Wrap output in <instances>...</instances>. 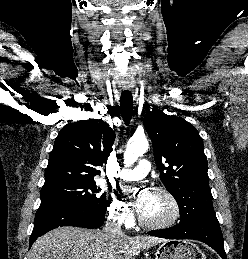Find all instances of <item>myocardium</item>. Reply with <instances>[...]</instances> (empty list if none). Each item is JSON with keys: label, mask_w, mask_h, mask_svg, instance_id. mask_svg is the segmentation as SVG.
I'll use <instances>...</instances> for the list:
<instances>
[{"label": "myocardium", "mask_w": 248, "mask_h": 259, "mask_svg": "<svg viewBox=\"0 0 248 259\" xmlns=\"http://www.w3.org/2000/svg\"><path fill=\"white\" fill-rule=\"evenodd\" d=\"M152 193L163 195L169 201L172 208V213L166 220L161 222H148L140 215V225L148 229H165L173 226L181 216V208L178 200L169 190L163 187L152 188Z\"/></svg>", "instance_id": "1"}]
</instances>
